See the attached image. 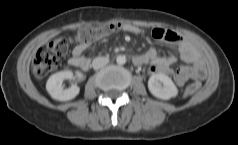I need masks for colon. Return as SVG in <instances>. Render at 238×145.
<instances>
[{"mask_svg": "<svg viewBox=\"0 0 238 145\" xmlns=\"http://www.w3.org/2000/svg\"><path fill=\"white\" fill-rule=\"evenodd\" d=\"M121 26V24H106L100 27H87L77 33L76 40L79 45L86 47L114 30L121 28ZM67 51L68 42L64 38H56L46 47L39 49L34 59V71L36 75L46 77L57 70L60 64V58L64 56ZM200 86L198 82L188 85L184 92L185 95H193Z\"/></svg>", "mask_w": 238, "mask_h": 145, "instance_id": "colon-1", "label": "colon"}]
</instances>
